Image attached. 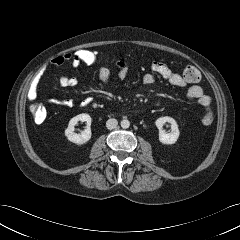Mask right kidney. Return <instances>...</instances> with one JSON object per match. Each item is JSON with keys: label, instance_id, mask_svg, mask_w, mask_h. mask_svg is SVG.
I'll return each instance as SVG.
<instances>
[{"label": "right kidney", "instance_id": "ca27d5eb", "mask_svg": "<svg viewBox=\"0 0 240 240\" xmlns=\"http://www.w3.org/2000/svg\"><path fill=\"white\" fill-rule=\"evenodd\" d=\"M86 122V129L81 132V134H77L74 132L75 130V125L79 122ZM91 122L92 119L90 117V115L86 114V113H82L79 114L75 117H73L68 124V127L65 130V136L67 137V139L72 142L75 143L77 145H83L85 143H87L92 136L91 133Z\"/></svg>", "mask_w": 240, "mask_h": 240}]
</instances>
